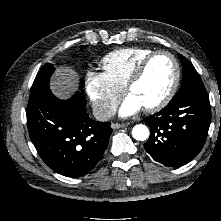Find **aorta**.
I'll return each instance as SVG.
<instances>
[{"label":"aorta","mask_w":221,"mask_h":221,"mask_svg":"<svg viewBox=\"0 0 221 221\" xmlns=\"http://www.w3.org/2000/svg\"><path fill=\"white\" fill-rule=\"evenodd\" d=\"M149 135L150 131L148 127L143 124L135 125L132 129V136L138 141H144L148 139Z\"/></svg>","instance_id":"1"}]
</instances>
